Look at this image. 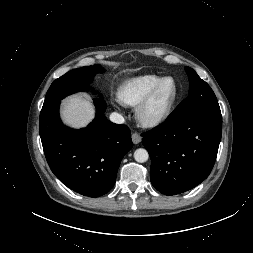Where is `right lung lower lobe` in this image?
Wrapping results in <instances>:
<instances>
[{"instance_id": "obj_1", "label": "right lung lower lobe", "mask_w": 253, "mask_h": 253, "mask_svg": "<svg viewBox=\"0 0 253 253\" xmlns=\"http://www.w3.org/2000/svg\"><path fill=\"white\" fill-rule=\"evenodd\" d=\"M94 104L95 119L80 130L63 125L60 103L41 111L39 121L50 169L68 188L88 197H99L112 189L120 162L133 146L129 128L104 116L107 104L103 98H94Z\"/></svg>"}]
</instances>
